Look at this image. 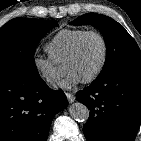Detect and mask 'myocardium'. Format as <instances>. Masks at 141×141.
Wrapping results in <instances>:
<instances>
[{
	"label": "myocardium",
	"mask_w": 141,
	"mask_h": 141,
	"mask_svg": "<svg viewBox=\"0 0 141 141\" xmlns=\"http://www.w3.org/2000/svg\"><path fill=\"white\" fill-rule=\"evenodd\" d=\"M92 35L98 37L102 43V47H103L102 60H101V63L99 65L98 69L90 77L82 80L83 83H92V82L96 81L105 70V67L107 65V60H108V44H107V41H106L104 35L96 30L86 31L76 41L72 50L70 51V53L68 54V56L65 60V63H67V62L73 60L74 58H76L81 50V47H82L84 41L86 40V38L89 36H92Z\"/></svg>",
	"instance_id": "1"
}]
</instances>
